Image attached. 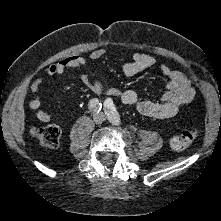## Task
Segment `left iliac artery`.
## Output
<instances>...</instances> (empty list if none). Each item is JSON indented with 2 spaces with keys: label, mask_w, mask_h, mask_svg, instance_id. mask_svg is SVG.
Instances as JSON below:
<instances>
[{
  "label": "left iliac artery",
  "mask_w": 221,
  "mask_h": 221,
  "mask_svg": "<svg viewBox=\"0 0 221 221\" xmlns=\"http://www.w3.org/2000/svg\"><path fill=\"white\" fill-rule=\"evenodd\" d=\"M104 109L105 113L107 114V117L109 121L114 125L120 124V115L118 111L116 110V107L113 103V100L111 98H107L104 102Z\"/></svg>",
  "instance_id": "left-iliac-artery-1"
}]
</instances>
